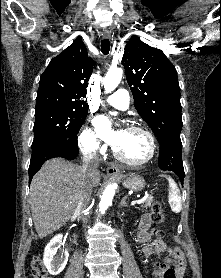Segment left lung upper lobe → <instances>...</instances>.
<instances>
[{
  "instance_id": "1",
  "label": "left lung upper lobe",
  "mask_w": 221,
  "mask_h": 278,
  "mask_svg": "<svg viewBox=\"0 0 221 278\" xmlns=\"http://www.w3.org/2000/svg\"><path fill=\"white\" fill-rule=\"evenodd\" d=\"M134 105L159 144L180 140L182 129L177 71L163 51L132 36L122 58Z\"/></svg>"
}]
</instances>
